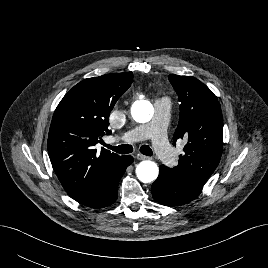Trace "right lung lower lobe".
Instances as JSON below:
<instances>
[{"label":"right lung lower lobe","mask_w":268,"mask_h":268,"mask_svg":"<svg viewBox=\"0 0 268 268\" xmlns=\"http://www.w3.org/2000/svg\"><path fill=\"white\" fill-rule=\"evenodd\" d=\"M133 162L132 156H122L109 170L97 193L83 205L91 208H103L117 199L118 184L126 168Z\"/></svg>","instance_id":"98d812e1"}]
</instances>
